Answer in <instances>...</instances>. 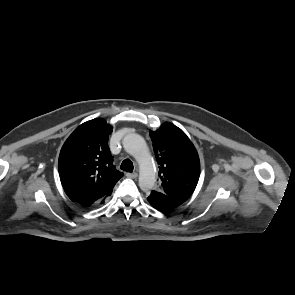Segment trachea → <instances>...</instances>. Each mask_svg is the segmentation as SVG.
<instances>
[{
    "instance_id": "trachea-1",
    "label": "trachea",
    "mask_w": 295,
    "mask_h": 295,
    "mask_svg": "<svg viewBox=\"0 0 295 295\" xmlns=\"http://www.w3.org/2000/svg\"><path fill=\"white\" fill-rule=\"evenodd\" d=\"M120 168L123 170V171H126V172H133V169H134V166H133V163L130 159H125L122 163H121V166Z\"/></svg>"
}]
</instances>
